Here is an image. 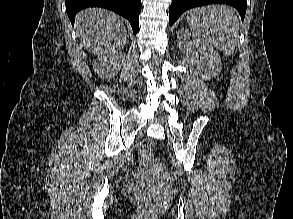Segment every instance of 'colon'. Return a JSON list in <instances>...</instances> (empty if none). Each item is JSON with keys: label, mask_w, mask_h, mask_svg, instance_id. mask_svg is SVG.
Segmentation results:
<instances>
[{"label": "colon", "mask_w": 293, "mask_h": 219, "mask_svg": "<svg viewBox=\"0 0 293 219\" xmlns=\"http://www.w3.org/2000/svg\"><path fill=\"white\" fill-rule=\"evenodd\" d=\"M152 149V141L150 139H144L139 144V153L142 157L145 159H148L150 157ZM135 200L140 203L142 206H144L148 210H153L154 203L152 196L149 192L143 189H138L134 193Z\"/></svg>", "instance_id": "5ec220e1"}]
</instances>
